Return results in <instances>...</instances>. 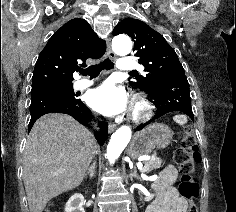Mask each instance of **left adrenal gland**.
<instances>
[{"mask_svg":"<svg viewBox=\"0 0 236 212\" xmlns=\"http://www.w3.org/2000/svg\"><path fill=\"white\" fill-rule=\"evenodd\" d=\"M133 178L141 180V178L137 175L136 169H134L133 172L130 174V179L133 180Z\"/></svg>","mask_w":236,"mask_h":212,"instance_id":"obj_1","label":"left adrenal gland"}]
</instances>
